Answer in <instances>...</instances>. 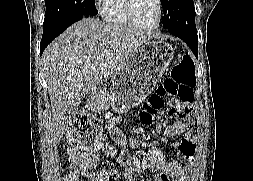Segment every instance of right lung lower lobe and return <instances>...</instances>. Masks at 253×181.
<instances>
[{
    "mask_svg": "<svg viewBox=\"0 0 253 181\" xmlns=\"http://www.w3.org/2000/svg\"><path fill=\"white\" fill-rule=\"evenodd\" d=\"M84 16L75 17L72 18L65 23H62L56 27L43 30V36L40 43V55L43 53L44 49L48 46V44L56 38L58 35H60L66 28H68L71 24H73L76 21H79Z\"/></svg>",
    "mask_w": 253,
    "mask_h": 181,
    "instance_id": "obj_1",
    "label": "right lung lower lobe"
}]
</instances>
